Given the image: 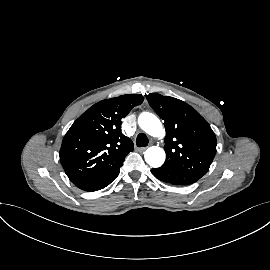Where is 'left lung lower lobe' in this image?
Listing matches in <instances>:
<instances>
[{
  "label": "left lung lower lobe",
  "mask_w": 270,
  "mask_h": 270,
  "mask_svg": "<svg viewBox=\"0 0 270 270\" xmlns=\"http://www.w3.org/2000/svg\"><path fill=\"white\" fill-rule=\"evenodd\" d=\"M151 172L159 180L173 185H190L198 180L181 170L163 166L160 168H153Z\"/></svg>",
  "instance_id": "0a47b994"
}]
</instances>
